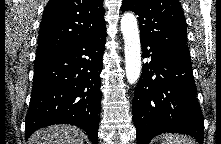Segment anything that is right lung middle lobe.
Segmentation results:
<instances>
[{"instance_id":"right-lung-middle-lobe-1","label":"right lung middle lobe","mask_w":221,"mask_h":144,"mask_svg":"<svg viewBox=\"0 0 221 144\" xmlns=\"http://www.w3.org/2000/svg\"><path fill=\"white\" fill-rule=\"evenodd\" d=\"M49 56H36L35 63L47 59Z\"/></svg>"}]
</instances>
